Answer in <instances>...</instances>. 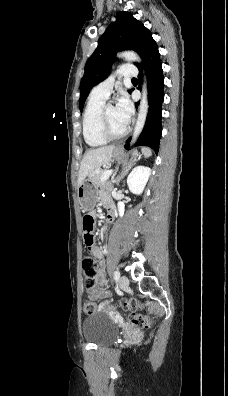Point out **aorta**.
Wrapping results in <instances>:
<instances>
[{
  "instance_id": "obj_1",
  "label": "aorta",
  "mask_w": 228,
  "mask_h": 396,
  "mask_svg": "<svg viewBox=\"0 0 228 396\" xmlns=\"http://www.w3.org/2000/svg\"><path fill=\"white\" fill-rule=\"evenodd\" d=\"M118 57L123 58L126 61L141 62L139 55L133 51H124L122 53H119ZM147 95H148L147 83H146V78H144V83H143V87H142V97H141V101H140V105H139V109H138V117H137V121H136V124L134 127L131 144H133L137 140V138L139 137L140 133L142 132L143 127L146 122L148 109H149ZM102 230L105 231L106 227H103Z\"/></svg>"
}]
</instances>
